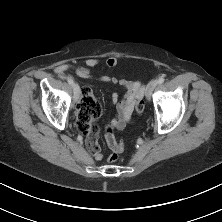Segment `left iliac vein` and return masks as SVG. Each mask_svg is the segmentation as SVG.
Masks as SVG:
<instances>
[{
    "mask_svg": "<svg viewBox=\"0 0 222 222\" xmlns=\"http://www.w3.org/2000/svg\"><path fill=\"white\" fill-rule=\"evenodd\" d=\"M158 82L157 80H152L148 83L147 87H146V92H145V96L147 99L151 98V95L154 91V89L156 88Z\"/></svg>",
    "mask_w": 222,
    "mask_h": 222,
    "instance_id": "obj_1",
    "label": "left iliac vein"
}]
</instances>
